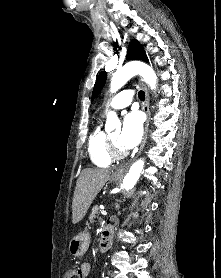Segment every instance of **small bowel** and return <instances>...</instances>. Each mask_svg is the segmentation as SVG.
Here are the masks:
<instances>
[{
	"mask_svg": "<svg viewBox=\"0 0 221 278\" xmlns=\"http://www.w3.org/2000/svg\"><path fill=\"white\" fill-rule=\"evenodd\" d=\"M80 270L83 274V278H86L91 273V265L89 263H83L80 267Z\"/></svg>",
	"mask_w": 221,
	"mask_h": 278,
	"instance_id": "obj_1",
	"label": "small bowel"
}]
</instances>
